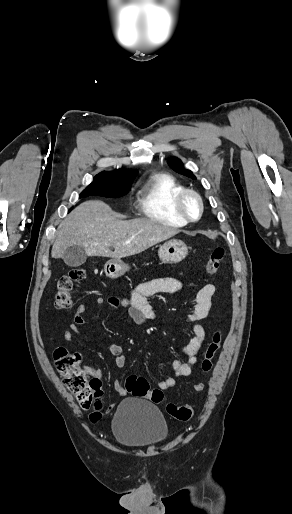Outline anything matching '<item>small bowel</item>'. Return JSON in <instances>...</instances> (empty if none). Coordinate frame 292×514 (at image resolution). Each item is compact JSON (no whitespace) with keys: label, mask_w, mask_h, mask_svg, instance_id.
I'll use <instances>...</instances> for the list:
<instances>
[{"label":"small bowel","mask_w":292,"mask_h":514,"mask_svg":"<svg viewBox=\"0 0 292 514\" xmlns=\"http://www.w3.org/2000/svg\"><path fill=\"white\" fill-rule=\"evenodd\" d=\"M182 287L183 282L180 279L159 278L137 284L129 297L97 296L94 302L97 306L107 305L115 310H123L127 318L138 325H144L149 322L157 321L158 319L155 311L148 302V297L161 293H175L180 291ZM214 293L215 286L211 283L205 284L197 293L196 306L188 318V321L192 324L193 337L183 350L186 360H175L173 362V376L159 381L157 384L158 389L162 391L168 390L176 385L178 378L187 377L192 373L193 366L206 340V328L200 322L209 317ZM86 311L87 305L84 303L79 304L75 308L73 321L69 328L63 332V338L66 341L73 340L79 328L86 324ZM108 349L115 358L116 366L120 368L124 367L126 364V356L122 346L117 343H109ZM84 369L94 377L100 378L102 376L98 364H87L84 366ZM114 390L119 396L124 397L127 395V390L123 387L119 379L114 383ZM114 404H117V401H114ZM113 409L114 406L110 405L105 409V412L110 414Z\"/></svg>","instance_id":"obj_1"}]
</instances>
